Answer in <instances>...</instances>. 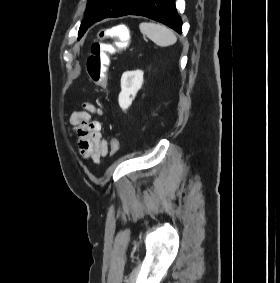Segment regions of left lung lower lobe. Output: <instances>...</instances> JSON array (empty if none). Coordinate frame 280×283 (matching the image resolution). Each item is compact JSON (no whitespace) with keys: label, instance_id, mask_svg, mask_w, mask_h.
Masks as SVG:
<instances>
[{"label":"left lung lower lobe","instance_id":"0a47b994","mask_svg":"<svg viewBox=\"0 0 280 283\" xmlns=\"http://www.w3.org/2000/svg\"><path fill=\"white\" fill-rule=\"evenodd\" d=\"M129 14L151 18L167 25L178 33L182 32V20L176 11L175 0H144Z\"/></svg>","mask_w":280,"mask_h":283}]
</instances>
